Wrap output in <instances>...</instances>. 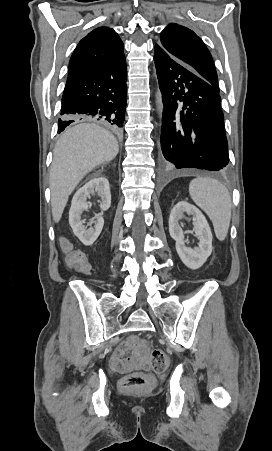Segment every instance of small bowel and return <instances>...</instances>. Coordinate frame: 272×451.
<instances>
[{"mask_svg": "<svg viewBox=\"0 0 272 451\" xmlns=\"http://www.w3.org/2000/svg\"><path fill=\"white\" fill-rule=\"evenodd\" d=\"M145 340H142L137 334H130L126 340L122 341L114 350L113 356H118V347L123 348H138Z\"/></svg>", "mask_w": 272, "mask_h": 451, "instance_id": "c3829d8e", "label": "small bowel"}]
</instances>
